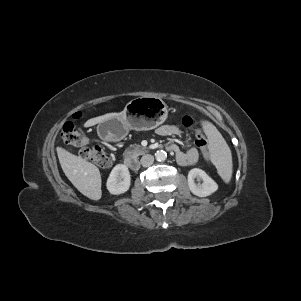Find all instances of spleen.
I'll return each mask as SVG.
<instances>
[{
    "instance_id": "spleen-1",
    "label": "spleen",
    "mask_w": 301,
    "mask_h": 301,
    "mask_svg": "<svg viewBox=\"0 0 301 301\" xmlns=\"http://www.w3.org/2000/svg\"><path fill=\"white\" fill-rule=\"evenodd\" d=\"M202 126L210 140L211 161L216 166L223 181L229 183L232 177L231 150L212 123L203 121Z\"/></svg>"
}]
</instances>
